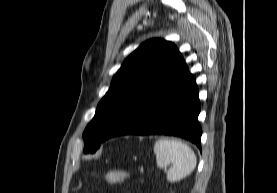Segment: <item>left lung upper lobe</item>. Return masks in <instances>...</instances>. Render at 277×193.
<instances>
[{"label": "left lung upper lobe", "mask_w": 277, "mask_h": 193, "mask_svg": "<svg viewBox=\"0 0 277 193\" xmlns=\"http://www.w3.org/2000/svg\"><path fill=\"white\" fill-rule=\"evenodd\" d=\"M184 66V59L173 43L152 39L141 44L123 62L99 102L94 118L83 133L84 152L94 153L131 105Z\"/></svg>", "instance_id": "left-lung-upper-lobe-1"}]
</instances>
